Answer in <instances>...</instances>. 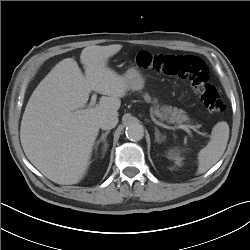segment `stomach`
Instances as JSON below:
<instances>
[{"mask_svg": "<svg viewBox=\"0 0 250 250\" xmlns=\"http://www.w3.org/2000/svg\"><path fill=\"white\" fill-rule=\"evenodd\" d=\"M124 77L127 81L128 90H141L144 87L145 79L136 68L128 69Z\"/></svg>", "mask_w": 250, "mask_h": 250, "instance_id": "0dacf381", "label": "stomach"}]
</instances>
